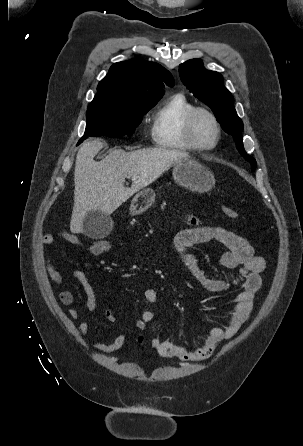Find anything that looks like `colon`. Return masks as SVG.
<instances>
[{"instance_id": "colon-1", "label": "colon", "mask_w": 303, "mask_h": 446, "mask_svg": "<svg viewBox=\"0 0 303 446\" xmlns=\"http://www.w3.org/2000/svg\"><path fill=\"white\" fill-rule=\"evenodd\" d=\"M222 212L230 219H237L238 218V213L235 209L228 207V206H223L222 207ZM100 246L98 247L97 251L92 252L93 255L95 256H100L103 255L105 253H107L110 249V242L108 240H100ZM138 341L140 343L143 342V337H139Z\"/></svg>"}]
</instances>
